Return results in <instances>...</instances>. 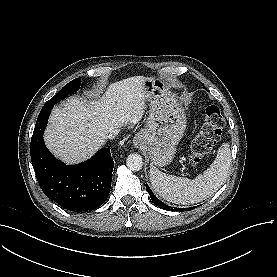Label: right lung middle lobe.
Masks as SVG:
<instances>
[{
	"mask_svg": "<svg viewBox=\"0 0 277 277\" xmlns=\"http://www.w3.org/2000/svg\"><path fill=\"white\" fill-rule=\"evenodd\" d=\"M81 86L79 79H74L66 84L54 97H52L45 105H54L67 97L69 94L77 91ZM44 105V106H45Z\"/></svg>",
	"mask_w": 277,
	"mask_h": 277,
	"instance_id": "obj_1",
	"label": "right lung middle lobe"
}]
</instances>
